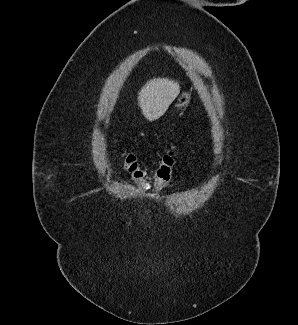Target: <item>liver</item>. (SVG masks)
<instances>
[{"label": "liver", "instance_id": "liver-1", "mask_svg": "<svg viewBox=\"0 0 298 325\" xmlns=\"http://www.w3.org/2000/svg\"><path fill=\"white\" fill-rule=\"evenodd\" d=\"M180 90V80H176V78L157 76V78L147 80L137 96L138 106H140L143 116L149 122L160 118L173 100L177 98Z\"/></svg>", "mask_w": 298, "mask_h": 325}]
</instances>
